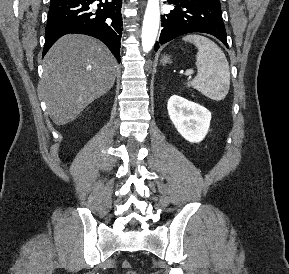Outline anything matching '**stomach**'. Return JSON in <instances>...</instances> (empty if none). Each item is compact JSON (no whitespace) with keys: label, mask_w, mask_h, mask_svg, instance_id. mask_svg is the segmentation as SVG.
I'll list each match as a JSON object with an SVG mask.
<instances>
[{"label":"stomach","mask_w":289,"mask_h":274,"mask_svg":"<svg viewBox=\"0 0 289 274\" xmlns=\"http://www.w3.org/2000/svg\"><path fill=\"white\" fill-rule=\"evenodd\" d=\"M162 63H170V57H167V56L163 57Z\"/></svg>","instance_id":"0dacf381"}]
</instances>
